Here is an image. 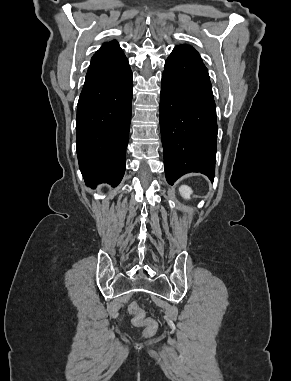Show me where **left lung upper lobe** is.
<instances>
[{
	"label": "left lung upper lobe",
	"mask_w": 291,
	"mask_h": 381,
	"mask_svg": "<svg viewBox=\"0 0 291 381\" xmlns=\"http://www.w3.org/2000/svg\"><path fill=\"white\" fill-rule=\"evenodd\" d=\"M177 48H180V49H183L189 53H191L192 55H194L195 57H197L199 60L202 61L200 55L198 54V52L195 50V48L187 45V44H181V45H177L176 46Z\"/></svg>",
	"instance_id": "left-lung-upper-lobe-1"
}]
</instances>
